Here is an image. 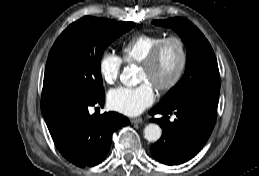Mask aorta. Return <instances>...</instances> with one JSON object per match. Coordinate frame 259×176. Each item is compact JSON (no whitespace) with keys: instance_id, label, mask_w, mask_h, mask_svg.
Returning a JSON list of instances; mask_svg holds the SVG:
<instances>
[{"instance_id":"obj_1","label":"aorta","mask_w":259,"mask_h":176,"mask_svg":"<svg viewBox=\"0 0 259 176\" xmlns=\"http://www.w3.org/2000/svg\"><path fill=\"white\" fill-rule=\"evenodd\" d=\"M121 82L126 86L134 85L136 82L135 72L132 67L127 66L124 68L120 75ZM162 135V129L155 123L148 124L144 129V137L149 142H156Z\"/></svg>"}]
</instances>
